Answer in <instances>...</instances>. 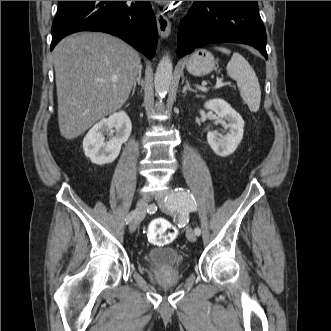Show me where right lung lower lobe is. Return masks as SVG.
I'll return each instance as SVG.
<instances>
[{
    "instance_id": "1",
    "label": "right lung lower lobe",
    "mask_w": 331,
    "mask_h": 331,
    "mask_svg": "<svg viewBox=\"0 0 331 331\" xmlns=\"http://www.w3.org/2000/svg\"><path fill=\"white\" fill-rule=\"evenodd\" d=\"M78 31L110 33L149 58L155 55L157 27L149 1H59L50 50Z\"/></svg>"
}]
</instances>
